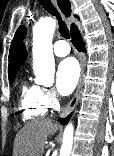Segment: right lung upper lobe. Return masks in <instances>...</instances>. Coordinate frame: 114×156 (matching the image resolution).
Masks as SVG:
<instances>
[{
    "mask_svg": "<svg viewBox=\"0 0 114 156\" xmlns=\"http://www.w3.org/2000/svg\"><path fill=\"white\" fill-rule=\"evenodd\" d=\"M58 5L61 11L68 17L71 14L70 2L68 0H58ZM75 25L72 24V28ZM27 59V50L24 44L20 45L19 48L14 52L11 59H9L8 65V76H16L18 70L22 66V64Z\"/></svg>",
    "mask_w": 114,
    "mask_h": 156,
    "instance_id": "1",
    "label": "right lung upper lobe"
}]
</instances>
